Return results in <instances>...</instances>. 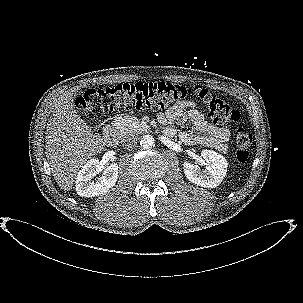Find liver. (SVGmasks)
Returning a JSON list of instances; mask_svg holds the SVG:
<instances>
[{"label":"liver","mask_w":303,"mask_h":303,"mask_svg":"<svg viewBox=\"0 0 303 303\" xmlns=\"http://www.w3.org/2000/svg\"><path fill=\"white\" fill-rule=\"evenodd\" d=\"M77 89L57 99L46 127L45 153L57 184L70 191L79 169L103 150L105 142L80 118L74 107Z\"/></svg>","instance_id":"1"}]
</instances>
